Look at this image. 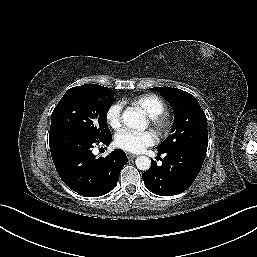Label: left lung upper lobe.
Masks as SVG:
<instances>
[{
    "instance_id": "5c2ea615",
    "label": "left lung upper lobe",
    "mask_w": 257,
    "mask_h": 257,
    "mask_svg": "<svg viewBox=\"0 0 257 257\" xmlns=\"http://www.w3.org/2000/svg\"><path fill=\"white\" fill-rule=\"evenodd\" d=\"M171 104L175 120L172 134L157 147L160 152L195 151L206 155L208 146L207 119L196 98L177 88L154 87Z\"/></svg>"
}]
</instances>
